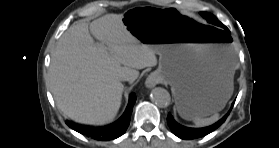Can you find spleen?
<instances>
[{"mask_svg":"<svg viewBox=\"0 0 279 148\" xmlns=\"http://www.w3.org/2000/svg\"><path fill=\"white\" fill-rule=\"evenodd\" d=\"M233 55V52H232ZM233 93V91H232ZM219 119V114L216 113L214 115H212L211 117L208 118H199V117H195L192 118L193 122L197 125V126H208L214 122H216Z\"/></svg>","mask_w":279,"mask_h":148,"instance_id":"spleen-1","label":"spleen"}]
</instances>
